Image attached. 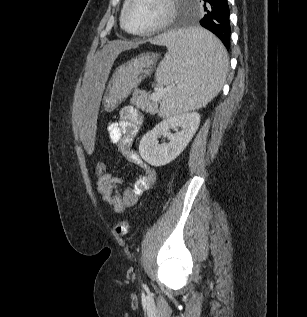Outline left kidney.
<instances>
[{
  "label": "left kidney",
  "mask_w": 307,
  "mask_h": 317,
  "mask_svg": "<svg viewBox=\"0 0 307 317\" xmlns=\"http://www.w3.org/2000/svg\"><path fill=\"white\" fill-rule=\"evenodd\" d=\"M200 124L197 112L180 113L167 117L148 131L139 144V154L152 166H163L174 160L190 142ZM173 129L174 134L169 133ZM179 129V130H178ZM165 135L169 142L158 144V137Z\"/></svg>",
  "instance_id": "5707ae66"
}]
</instances>
